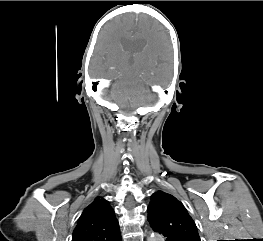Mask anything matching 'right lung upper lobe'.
Wrapping results in <instances>:
<instances>
[{
  "mask_svg": "<svg viewBox=\"0 0 263 241\" xmlns=\"http://www.w3.org/2000/svg\"><path fill=\"white\" fill-rule=\"evenodd\" d=\"M115 213L107 200L97 197L85 208L73 231L72 241H120Z\"/></svg>",
  "mask_w": 263,
  "mask_h": 241,
  "instance_id": "obj_1",
  "label": "right lung upper lobe"
}]
</instances>
